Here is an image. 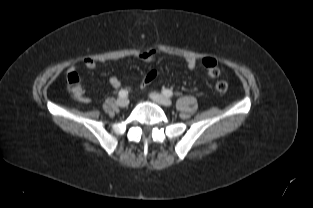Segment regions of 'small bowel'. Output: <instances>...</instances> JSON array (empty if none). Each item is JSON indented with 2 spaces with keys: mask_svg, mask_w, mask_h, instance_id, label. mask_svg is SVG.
<instances>
[{
  "mask_svg": "<svg viewBox=\"0 0 313 208\" xmlns=\"http://www.w3.org/2000/svg\"><path fill=\"white\" fill-rule=\"evenodd\" d=\"M156 54H157L156 50L148 49L140 53L138 55V58L142 61H151L156 57ZM185 62H186V66L189 69L195 68L197 64L196 60L192 57L186 58ZM82 63L84 66H86L89 69H94L97 66V61L91 57L84 58L82 60ZM201 63L208 70L211 67L217 66V61L213 57H204ZM72 78H75L74 82L72 81ZM67 82H68L69 89L76 100L84 104L90 103L91 98L85 93V91L82 89L81 85L79 84V76L77 74L75 66H71L69 68L68 74H67ZM109 82H110V85L114 88L120 87V81L116 77H111Z\"/></svg>",
  "mask_w": 313,
  "mask_h": 208,
  "instance_id": "1",
  "label": "small bowel"
}]
</instances>
